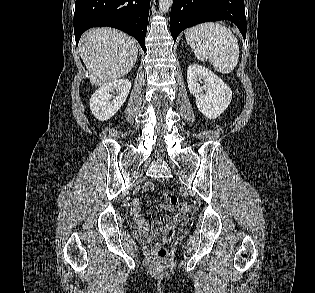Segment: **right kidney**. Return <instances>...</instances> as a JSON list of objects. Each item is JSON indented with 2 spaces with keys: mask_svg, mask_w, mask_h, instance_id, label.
I'll return each instance as SVG.
<instances>
[{
  "mask_svg": "<svg viewBox=\"0 0 315 293\" xmlns=\"http://www.w3.org/2000/svg\"><path fill=\"white\" fill-rule=\"evenodd\" d=\"M131 89L128 79H119L102 85L90 99V109L100 121L110 119L124 104Z\"/></svg>",
  "mask_w": 315,
  "mask_h": 293,
  "instance_id": "1",
  "label": "right kidney"
}]
</instances>
